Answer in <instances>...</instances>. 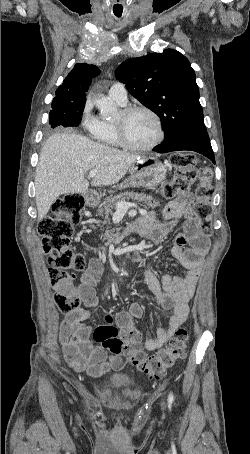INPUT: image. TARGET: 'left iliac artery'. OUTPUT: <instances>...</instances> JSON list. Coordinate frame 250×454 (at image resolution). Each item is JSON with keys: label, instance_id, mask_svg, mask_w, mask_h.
I'll list each match as a JSON object with an SVG mask.
<instances>
[{"label": "left iliac artery", "instance_id": "left-iliac-artery-1", "mask_svg": "<svg viewBox=\"0 0 250 454\" xmlns=\"http://www.w3.org/2000/svg\"><path fill=\"white\" fill-rule=\"evenodd\" d=\"M174 401V395L172 392H170L169 397H168V402L171 404Z\"/></svg>", "mask_w": 250, "mask_h": 454}]
</instances>
